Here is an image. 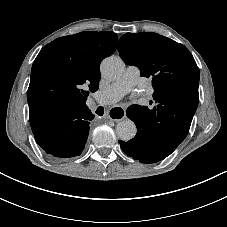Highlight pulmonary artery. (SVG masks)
Segmentation results:
<instances>
[{
  "instance_id": "pulmonary-artery-1",
  "label": "pulmonary artery",
  "mask_w": 227,
  "mask_h": 227,
  "mask_svg": "<svg viewBox=\"0 0 227 227\" xmlns=\"http://www.w3.org/2000/svg\"><path fill=\"white\" fill-rule=\"evenodd\" d=\"M134 87L150 97L154 86L150 80L140 77L138 67L128 66L118 80L97 91L94 94V99L99 105H112L122 99Z\"/></svg>"
}]
</instances>
